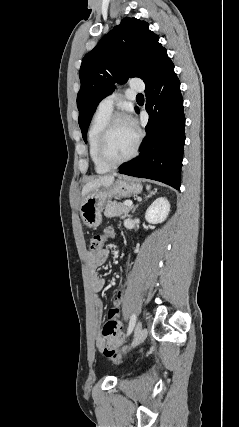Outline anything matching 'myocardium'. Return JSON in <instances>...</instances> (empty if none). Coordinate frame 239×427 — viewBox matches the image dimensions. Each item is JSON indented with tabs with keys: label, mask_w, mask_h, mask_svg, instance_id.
Masks as SVG:
<instances>
[{
	"label": "myocardium",
	"mask_w": 239,
	"mask_h": 427,
	"mask_svg": "<svg viewBox=\"0 0 239 427\" xmlns=\"http://www.w3.org/2000/svg\"><path fill=\"white\" fill-rule=\"evenodd\" d=\"M120 121L128 122V119L122 114L111 115L110 118L107 120L106 124L104 125L98 140V146H97L98 158L102 164H104L109 168L118 167L132 160L137 155L140 142H141V135L137 130H135L136 139H135L134 147L131 150V152L120 160H111L110 158H108V156L106 155V147H107L108 139L114 125Z\"/></svg>",
	"instance_id": "1"
}]
</instances>
